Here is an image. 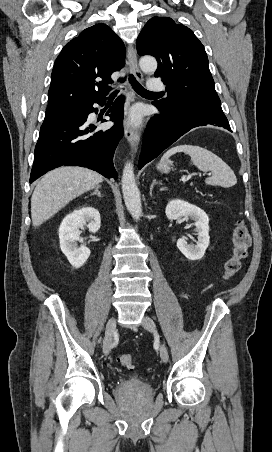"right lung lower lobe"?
Listing matches in <instances>:
<instances>
[{
  "instance_id": "1",
  "label": "right lung lower lobe",
  "mask_w": 272,
  "mask_h": 452,
  "mask_svg": "<svg viewBox=\"0 0 272 452\" xmlns=\"http://www.w3.org/2000/svg\"><path fill=\"white\" fill-rule=\"evenodd\" d=\"M106 97L66 113L46 114L35 147L30 183L59 166H82L107 178L117 179L113 156L123 137V102L118 97L106 115L115 126L97 131L87 117L96 112L94 103L104 104ZM105 121V120H104Z\"/></svg>"
}]
</instances>
